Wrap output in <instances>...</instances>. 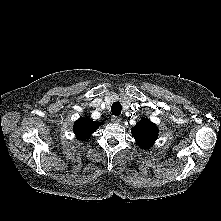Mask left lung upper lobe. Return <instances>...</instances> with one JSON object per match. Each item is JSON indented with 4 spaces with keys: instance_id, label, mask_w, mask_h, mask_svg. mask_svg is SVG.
Segmentation results:
<instances>
[{
    "instance_id": "obj_1",
    "label": "left lung upper lobe",
    "mask_w": 221,
    "mask_h": 221,
    "mask_svg": "<svg viewBox=\"0 0 221 221\" xmlns=\"http://www.w3.org/2000/svg\"><path fill=\"white\" fill-rule=\"evenodd\" d=\"M132 134L141 148L148 149L158 137V128L150 120L144 118L132 128Z\"/></svg>"
}]
</instances>
